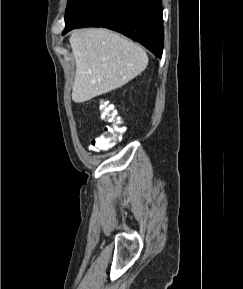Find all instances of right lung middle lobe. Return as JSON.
<instances>
[{
  "mask_svg": "<svg viewBox=\"0 0 243 289\" xmlns=\"http://www.w3.org/2000/svg\"><path fill=\"white\" fill-rule=\"evenodd\" d=\"M81 0H69L67 9H66V15L65 19L68 18L77 8Z\"/></svg>",
  "mask_w": 243,
  "mask_h": 289,
  "instance_id": "1",
  "label": "right lung middle lobe"
}]
</instances>
